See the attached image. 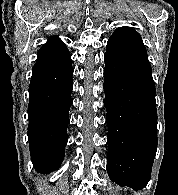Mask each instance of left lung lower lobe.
Masks as SVG:
<instances>
[{"label":"left lung lower lobe","instance_id":"obj_1","mask_svg":"<svg viewBox=\"0 0 178 195\" xmlns=\"http://www.w3.org/2000/svg\"><path fill=\"white\" fill-rule=\"evenodd\" d=\"M108 124L107 173L120 186L144 188L157 149V110L152 69L105 53Z\"/></svg>","mask_w":178,"mask_h":195}]
</instances>
